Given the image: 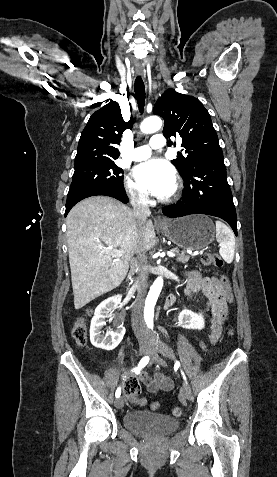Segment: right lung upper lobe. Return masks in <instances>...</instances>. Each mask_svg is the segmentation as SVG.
<instances>
[{
  "label": "right lung upper lobe",
  "instance_id": "1",
  "mask_svg": "<svg viewBox=\"0 0 277 477\" xmlns=\"http://www.w3.org/2000/svg\"><path fill=\"white\" fill-rule=\"evenodd\" d=\"M132 118L124 122L120 106L111 102L92 114L78 144L75 167L99 162H114L120 155L119 144L125 129L131 128Z\"/></svg>",
  "mask_w": 277,
  "mask_h": 477
}]
</instances>
